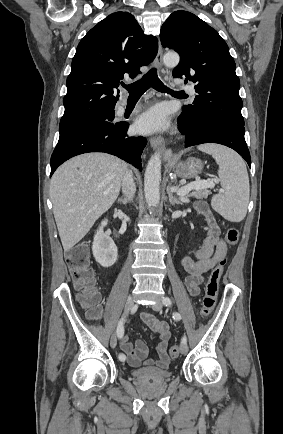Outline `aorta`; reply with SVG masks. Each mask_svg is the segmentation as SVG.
I'll list each match as a JSON object with an SVG mask.
<instances>
[{
    "mask_svg": "<svg viewBox=\"0 0 283 434\" xmlns=\"http://www.w3.org/2000/svg\"><path fill=\"white\" fill-rule=\"evenodd\" d=\"M177 53H167L163 57L165 65L174 67L179 63ZM161 180V155L154 153L146 167L144 177V193L149 208L156 207L160 201L159 185Z\"/></svg>",
    "mask_w": 283,
    "mask_h": 434,
    "instance_id": "aorta-1",
    "label": "aorta"
}]
</instances>
